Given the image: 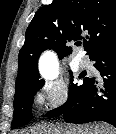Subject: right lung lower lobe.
<instances>
[{"label": "right lung lower lobe", "mask_w": 116, "mask_h": 134, "mask_svg": "<svg viewBox=\"0 0 116 134\" xmlns=\"http://www.w3.org/2000/svg\"><path fill=\"white\" fill-rule=\"evenodd\" d=\"M102 77V87L89 78L82 93L61 111L47 117L63 116L67 123L105 121L116 127V41L90 58Z\"/></svg>", "instance_id": "right-lung-lower-lobe-1"}]
</instances>
